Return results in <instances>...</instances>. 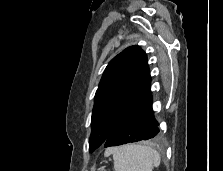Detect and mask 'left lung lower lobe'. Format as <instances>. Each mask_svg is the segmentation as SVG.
I'll use <instances>...</instances> for the list:
<instances>
[{"instance_id":"left-lung-lower-lobe-1","label":"left lung lower lobe","mask_w":223,"mask_h":171,"mask_svg":"<svg viewBox=\"0 0 223 171\" xmlns=\"http://www.w3.org/2000/svg\"><path fill=\"white\" fill-rule=\"evenodd\" d=\"M151 79L136 101L116 124L104 147L149 140L159 134L158 122L152 110Z\"/></svg>"}]
</instances>
